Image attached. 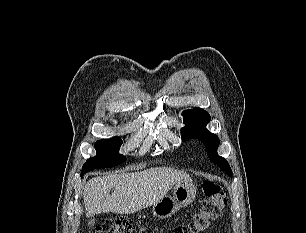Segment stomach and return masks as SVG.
Segmentation results:
<instances>
[{
  "label": "stomach",
  "instance_id": "0dacf381",
  "mask_svg": "<svg viewBox=\"0 0 306 233\" xmlns=\"http://www.w3.org/2000/svg\"><path fill=\"white\" fill-rule=\"evenodd\" d=\"M196 197V186L192 181H181L175 184L173 196L165 195L153 204V214L161 219L169 218L177 210L191 204Z\"/></svg>",
  "mask_w": 306,
  "mask_h": 233
}]
</instances>
